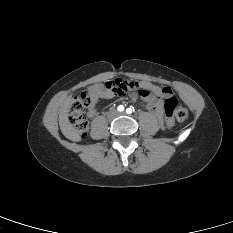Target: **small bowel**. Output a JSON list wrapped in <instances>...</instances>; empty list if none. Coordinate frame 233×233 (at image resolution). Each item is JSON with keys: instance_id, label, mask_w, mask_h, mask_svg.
Returning a JSON list of instances; mask_svg holds the SVG:
<instances>
[{"instance_id": "c3829d8e", "label": "small bowel", "mask_w": 233, "mask_h": 233, "mask_svg": "<svg viewBox=\"0 0 233 233\" xmlns=\"http://www.w3.org/2000/svg\"><path fill=\"white\" fill-rule=\"evenodd\" d=\"M138 89L130 93L133 101H141L143 106L148 109L159 121L163 117V99L172 95V90L167 86H159L147 81H137ZM90 103L88 106V116L97 115V103L100 98H112L115 93L106 89L104 83L94 84L88 90Z\"/></svg>"}]
</instances>
